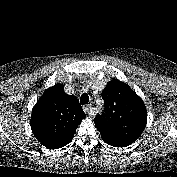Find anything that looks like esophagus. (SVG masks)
<instances>
[{"instance_id":"1","label":"esophagus","mask_w":177,"mask_h":177,"mask_svg":"<svg viewBox=\"0 0 177 177\" xmlns=\"http://www.w3.org/2000/svg\"><path fill=\"white\" fill-rule=\"evenodd\" d=\"M83 110H84V112L86 113V114H89V115H93V111H92V108H91V106L90 105H85L84 107H83Z\"/></svg>"}]
</instances>
